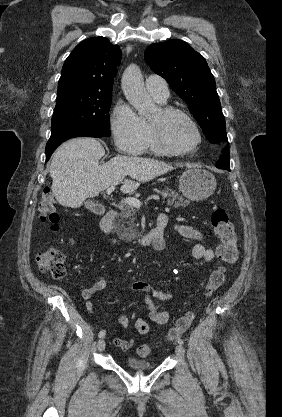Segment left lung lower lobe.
<instances>
[{"label": "left lung lower lobe", "instance_id": "1", "mask_svg": "<svg viewBox=\"0 0 282 417\" xmlns=\"http://www.w3.org/2000/svg\"><path fill=\"white\" fill-rule=\"evenodd\" d=\"M222 149L223 155L217 162L216 166L224 170H230L229 148L227 144L218 145Z\"/></svg>", "mask_w": 282, "mask_h": 417}]
</instances>
